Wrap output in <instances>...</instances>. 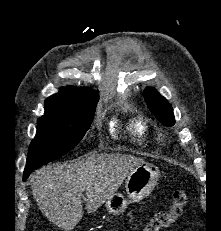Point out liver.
Returning a JSON list of instances; mask_svg holds the SVG:
<instances>
[{"mask_svg": "<svg viewBox=\"0 0 221 231\" xmlns=\"http://www.w3.org/2000/svg\"><path fill=\"white\" fill-rule=\"evenodd\" d=\"M140 158L121 154H90L73 163H56L41 168L30 178L33 196L42 213L59 228L72 230L86 208L95 212L113 196Z\"/></svg>", "mask_w": 221, "mask_h": 231, "instance_id": "6515ba94", "label": "liver"}]
</instances>
